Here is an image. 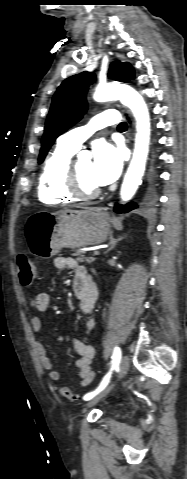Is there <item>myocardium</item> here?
Wrapping results in <instances>:
<instances>
[{
  "label": "myocardium",
  "instance_id": "obj_1",
  "mask_svg": "<svg viewBox=\"0 0 187 479\" xmlns=\"http://www.w3.org/2000/svg\"><path fill=\"white\" fill-rule=\"evenodd\" d=\"M65 188L75 199L79 200H92L101 193L99 187L92 190H87L83 187L77 169V162L72 160L66 169Z\"/></svg>",
  "mask_w": 187,
  "mask_h": 479
}]
</instances>
